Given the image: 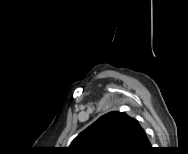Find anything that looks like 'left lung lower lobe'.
<instances>
[{
  "mask_svg": "<svg viewBox=\"0 0 188 154\" xmlns=\"http://www.w3.org/2000/svg\"><path fill=\"white\" fill-rule=\"evenodd\" d=\"M150 147V142L139 123L136 121L133 140L130 146L129 153L135 154L140 150Z\"/></svg>",
  "mask_w": 188,
  "mask_h": 154,
  "instance_id": "left-lung-lower-lobe-1",
  "label": "left lung lower lobe"
}]
</instances>
